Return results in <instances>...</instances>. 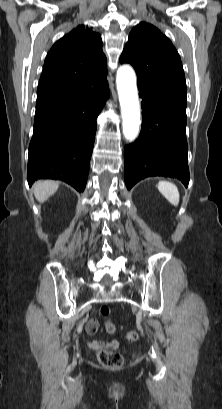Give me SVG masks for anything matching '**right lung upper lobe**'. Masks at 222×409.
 Wrapping results in <instances>:
<instances>
[{
    "label": "right lung upper lobe",
    "mask_w": 222,
    "mask_h": 409,
    "mask_svg": "<svg viewBox=\"0 0 222 409\" xmlns=\"http://www.w3.org/2000/svg\"><path fill=\"white\" fill-rule=\"evenodd\" d=\"M106 73L107 62L100 35L79 25L48 52L36 105L79 95L86 90L89 79Z\"/></svg>",
    "instance_id": "cb5924a9"
}]
</instances>
